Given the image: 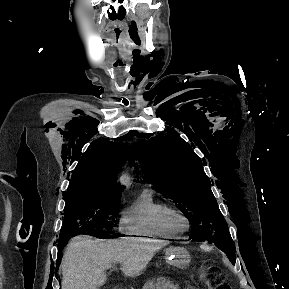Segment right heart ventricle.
<instances>
[{"label": "right heart ventricle", "instance_id": "obj_1", "mask_svg": "<svg viewBox=\"0 0 289 289\" xmlns=\"http://www.w3.org/2000/svg\"><path fill=\"white\" fill-rule=\"evenodd\" d=\"M166 206L152 189H144L135 202L123 209L121 229L128 235L174 238L176 235L168 231L160 220Z\"/></svg>", "mask_w": 289, "mask_h": 289}]
</instances>
